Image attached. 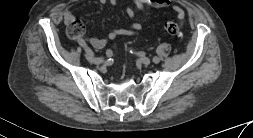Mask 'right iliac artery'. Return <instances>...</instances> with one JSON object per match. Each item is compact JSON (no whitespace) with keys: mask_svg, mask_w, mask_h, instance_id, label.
I'll use <instances>...</instances> for the list:
<instances>
[{"mask_svg":"<svg viewBox=\"0 0 253 138\" xmlns=\"http://www.w3.org/2000/svg\"><path fill=\"white\" fill-rule=\"evenodd\" d=\"M78 44L80 45V47L90 56H93L92 54V49L88 46V44L83 40V39H80L78 41ZM106 55L107 57H110L111 56V51L110 50H107L106 52Z\"/></svg>","mask_w":253,"mask_h":138,"instance_id":"obj_1","label":"right iliac artery"}]
</instances>
